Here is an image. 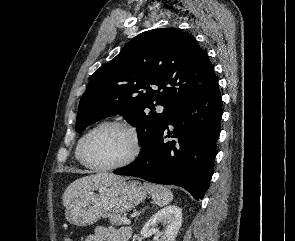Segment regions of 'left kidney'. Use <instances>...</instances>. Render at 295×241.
Here are the masks:
<instances>
[{"label": "left kidney", "instance_id": "left-kidney-1", "mask_svg": "<svg viewBox=\"0 0 295 241\" xmlns=\"http://www.w3.org/2000/svg\"><path fill=\"white\" fill-rule=\"evenodd\" d=\"M158 224L164 228L159 230ZM182 225V209L170 205L156 212L143 226L141 235L150 237L154 235L155 241H175L177 233Z\"/></svg>", "mask_w": 295, "mask_h": 241}]
</instances>
